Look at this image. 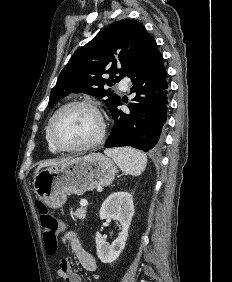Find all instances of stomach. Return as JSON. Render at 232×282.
Segmentation results:
<instances>
[{
  "label": "stomach",
  "mask_w": 232,
  "mask_h": 282,
  "mask_svg": "<svg viewBox=\"0 0 232 282\" xmlns=\"http://www.w3.org/2000/svg\"><path fill=\"white\" fill-rule=\"evenodd\" d=\"M117 169L114 162L100 154L68 159L39 171L33 181L36 195L51 208L61 207L68 194L82 195L112 183Z\"/></svg>",
  "instance_id": "stomach-1"
}]
</instances>
